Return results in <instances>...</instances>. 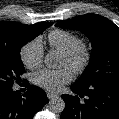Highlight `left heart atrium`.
I'll return each instance as SVG.
<instances>
[{
    "instance_id": "1",
    "label": "left heart atrium",
    "mask_w": 119,
    "mask_h": 119,
    "mask_svg": "<svg viewBox=\"0 0 119 119\" xmlns=\"http://www.w3.org/2000/svg\"><path fill=\"white\" fill-rule=\"evenodd\" d=\"M72 77V70L67 67L60 70L42 69L33 74L32 81L47 91L56 92L69 83Z\"/></svg>"
}]
</instances>
